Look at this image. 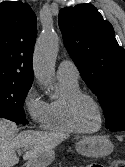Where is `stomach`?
Masks as SVG:
<instances>
[{"instance_id": "0dacf381", "label": "stomach", "mask_w": 125, "mask_h": 167, "mask_svg": "<svg viewBox=\"0 0 125 167\" xmlns=\"http://www.w3.org/2000/svg\"><path fill=\"white\" fill-rule=\"evenodd\" d=\"M76 151L86 157H104L113 151V144L104 136L85 137L75 146ZM55 159L54 150H47L28 161L26 167H48Z\"/></svg>"}]
</instances>
